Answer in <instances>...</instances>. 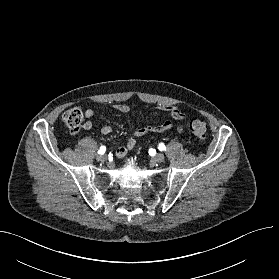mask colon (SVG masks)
<instances>
[{
  "instance_id": "colon-1",
  "label": "colon",
  "mask_w": 279,
  "mask_h": 279,
  "mask_svg": "<svg viewBox=\"0 0 279 279\" xmlns=\"http://www.w3.org/2000/svg\"><path fill=\"white\" fill-rule=\"evenodd\" d=\"M83 112L79 108H72L64 112L62 120L71 133H77L83 122ZM190 130L199 139H205L207 135V125L199 119H193L190 122Z\"/></svg>"
}]
</instances>
